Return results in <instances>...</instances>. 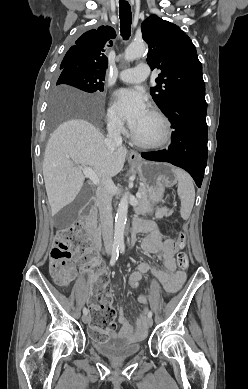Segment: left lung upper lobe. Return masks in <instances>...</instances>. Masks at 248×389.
Returning <instances> with one entry per match:
<instances>
[{
	"label": "left lung upper lobe",
	"instance_id": "1",
	"mask_svg": "<svg viewBox=\"0 0 248 389\" xmlns=\"http://www.w3.org/2000/svg\"><path fill=\"white\" fill-rule=\"evenodd\" d=\"M141 29L149 46L147 63L161 70L150 92L162 112L183 93L205 88L196 48L177 25L151 15Z\"/></svg>",
	"mask_w": 248,
	"mask_h": 389
}]
</instances>
